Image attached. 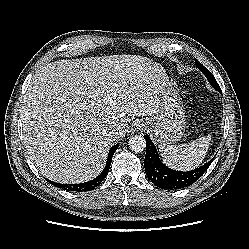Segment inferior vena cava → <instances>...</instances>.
<instances>
[{
  "label": "inferior vena cava",
  "mask_w": 249,
  "mask_h": 249,
  "mask_svg": "<svg viewBox=\"0 0 249 249\" xmlns=\"http://www.w3.org/2000/svg\"><path fill=\"white\" fill-rule=\"evenodd\" d=\"M118 132H119V129H114V130H112V131L109 133V135H110L111 137H116V135L118 134Z\"/></svg>",
  "instance_id": "1"
}]
</instances>
